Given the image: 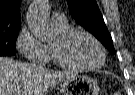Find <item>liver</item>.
Listing matches in <instances>:
<instances>
[{"label": "liver", "instance_id": "obj_1", "mask_svg": "<svg viewBox=\"0 0 135 95\" xmlns=\"http://www.w3.org/2000/svg\"><path fill=\"white\" fill-rule=\"evenodd\" d=\"M74 75L0 57V95H45L49 87Z\"/></svg>", "mask_w": 135, "mask_h": 95}]
</instances>
